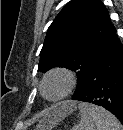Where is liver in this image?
Returning a JSON list of instances; mask_svg holds the SVG:
<instances>
[{
    "instance_id": "liver-1",
    "label": "liver",
    "mask_w": 123,
    "mask_h": 130,
    "mask_svg": "<svg viewBox=\"0 0 123 130\" xmlns=\"http://www.w3.org/2000/svg\"><path fill=\"white\" fill-rule=\"evenodd\" d=\"M53 114V113H52ZM52 116L53 115H51V114H48L44 119H43V121L42 122H50L51 120H52ZM37 128H43L41 125H39Z\"/></svg>"
}]
</instances>
